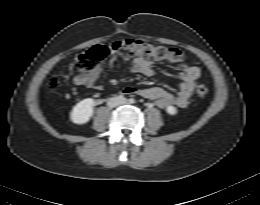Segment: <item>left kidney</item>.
<instances>
[{
  "instance_id": "left-kidney-1",
  "label": "left kidney",
  "mask_w": 260,
  "mask_h": 205,
  "mask_svg": "<svg viewBox=\"0 0 260 205\" xmlns=\"http://www.w3.org/2000/svg\"><path fill=\"white\" fill-rule=\"evenodd\" d=\"M166 112L170 115H175L177 114V109L174 106H167Z\"/></svg>"
}]
</instances>
